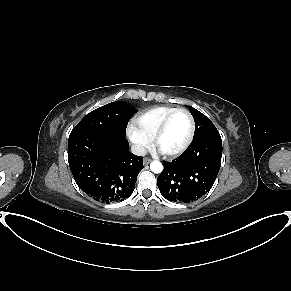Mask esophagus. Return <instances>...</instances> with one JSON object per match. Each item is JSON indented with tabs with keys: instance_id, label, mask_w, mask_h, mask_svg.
Instances as JSON below:
<instances>
[{
	"instance_id": "1",
	"label": "esophagus",
	"mask_w": 291,
	"mask_h": 291,
	"mask_svg": "<svg viewBox=\"0 0 291 291\" xmlns=\"http://www.w3.org/2000/svg\"><path fill=\"white\" fill-rule=\"evenodd\" d=\"M151 161L152 160L150 158H147V157L143 159V162L145 165L149 164Z\"/></svg>"
}]
</instances>
